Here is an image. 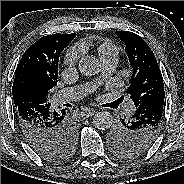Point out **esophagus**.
Instances as JSON below:
<instances>
[{
	"instance_id": "obj_1",
	"label": "esophagus",
	"mask_w": 184,
	"mask_h": 184,
	"mask_svg": "<svg viewBox=\"0 0 184 184\" xmlns=\"http://www.w3.org/2000/svg\"><path fill=\"white\" fill-rule=\"evenodd\" d=\"M95 110L93 109H86L85 111L82 112V115L85 117H90L92 115H94Z\"/></svg>"
}]
</instances>
